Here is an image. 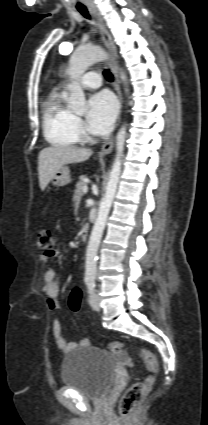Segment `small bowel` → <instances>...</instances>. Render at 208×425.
Here are the masks:
<instances>
[{"instance_id": "small-bowel-1", "label": "small bowel", "mask_w": 208, "mask_h": 425, "mask_svg": "<svg viewBox=\"0 0 208 425\" xmlns=\"http://www.w3.org/2000/svg\"><path fill=\"white\" fill-rule=\"evenodd\" d=\"M57 255V252H54L52 255L42 254L40 260L42 262H48L51 257ZM43 291L46 294L47 306L51 311H57L60 309V304L57 299L59 294V284L56 278V272L52 268H48L44 273V287ZM53 336L57 346L65 353L70 352L78 346H86L89 343L87 338L82 339L79 343L67 342L64 338L62 326L59 318L57 316L53 319Z\"/></svg>"}]
</instances>
